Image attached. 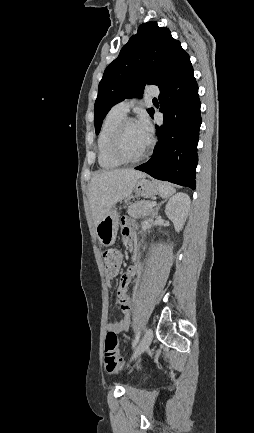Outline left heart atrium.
Wrapping results in <instances>:
<instances>
[{"instance_id":"left-heart-atrium-1","label":"left heart atrium","mask_w":254,"mask_h":433,"mask_svg":"<svg viewBox=\"0 0 254 433\" xmlns=\"http://www.w3.org/2000/svg\"><path fill=\"white\" fill-rule=\"evenodd\" d=\"M138 127L140 128V130L149 137L150 132H151V125L149 122L148 117L145 114H142L139 119L136 121Z\"/></svg>"}]
</instances>
